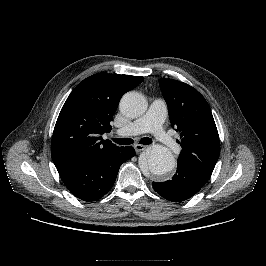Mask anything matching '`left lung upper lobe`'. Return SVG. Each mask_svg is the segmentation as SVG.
<instances>
[{"label": "left lung upper lobe", "instance_id": "1", "mask_svg": "<svg viewBox=\"0 0 266 266\" xmlns=\"http://www.w3.org/2000/svg\"><path fill=\"white\" fill-rule=\"evenodd\" d=\"M170 122L180 132L177 164L210 178L220 154L218 131L205 98L193 87L172 79H159Z\"/></svg>", "mask_w": 266, "mask_h": 266}]
</instances>
